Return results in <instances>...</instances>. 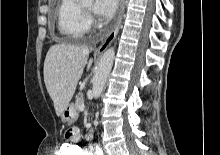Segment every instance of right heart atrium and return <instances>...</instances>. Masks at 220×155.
Here are the masks:
<instances>
[{
    "label": "right heart atrium",
    "mask_w": 220,
    "mask_h": 155,
    "mask_svg": "<svg viewBox=\"0 0 220 155\" xmlns=\"http://www.w3.org/2000/svg\"><path fill=\"white\" fill-rule=\"evenodd\" d=\"M88 24L91 25L93 23V19L91 17L87 18Z\"/></svg>",
    "instance_id": "right-heart-atrium-1"
}]
</instances>
